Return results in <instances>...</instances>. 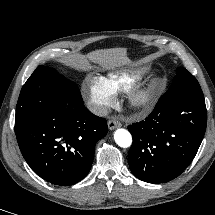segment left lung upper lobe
Instances as JSON below:
<instances>
[{
	"mask_svg": "<svg viewBox=\"0 0 215 215\" xmlns=\"http://www.w3.org/2000/svg\"><path fill=\"white\" fill-rule=\"evenodd\" d=\"M169 91L203 96V92L196 78L182 67L177 68L176 76Z\"/></svg>",
	"mask_w": 215,
	"mask_h": 215,
	"instance_id": "5c2ea615",
	"label": "left lung upper lobe"
}]
</instances>
